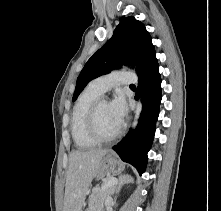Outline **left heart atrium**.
Returning a JSON list of instances; mask_svg holds the SVG:
<instances>
[{
  "label": "left heart atrium",
  "mask_w": 221,
  "mask_h": 211,
  "mask_svg": "<svg viewBox=\"0 0 221 211\" xmlns=\"http://www.w3.org/2000/svg\"><path fill=\"white\" fill-rule=\"evenodd\" d=\"M109 107L116 123L120 127L127 114V103L123 94L117 93L113 100L109 103Z\"/></svg>",
  "instance_id": "1"
}]
</instances>
